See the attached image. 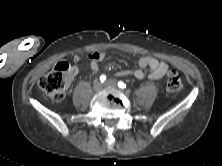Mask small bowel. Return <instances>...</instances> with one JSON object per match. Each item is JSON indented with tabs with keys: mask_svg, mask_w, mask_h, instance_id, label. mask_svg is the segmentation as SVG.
<instances>
[{
	"mask_svg": "<svg viewBox=\"0 0 222 166\" xmlns=\"http://www.w3.org/2000/svg\"><path fill=\"white\" fill-rule=\"evenodd\" d=\"M90 68L96 72L99 70V63L105 59V54L100 51H93L89 55ZM79 56L74 57V61L78 62ZM146 70H148V78L150 80H160L164 77L168 70L166 62L161 61L152 56H143L137 62V67L133 70H121L118 72L119 76H134L137 79H143L146 76ZM77 73V68H74L73 74Z\"/></svg>",
	"mask_w": 222,
	"mask_h": 166,
	"instance_id": "c3829d8e",
	"label": "small bowel"
}]
</instances>
